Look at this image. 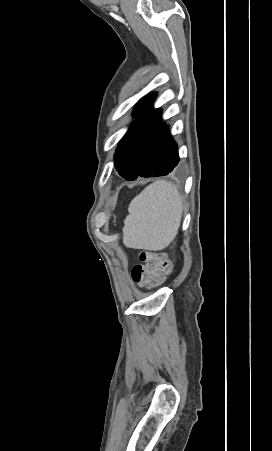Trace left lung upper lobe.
Returning a JSON list of instances; mask_svg holds the SVG:
<instances>
[{
  "instance_id": "1",
  "label": "left lung upper lobe",
  "mask_w": 272,
  "mask_h": 451,
  "mask_svg": "<svg viewBox=\"0 0 272 451\" xmlns=\"http://www.w3.org/2000/svg\"><path fill=\"white\" fill-rule=\"evenodd\" d=\"M156 94H151L137 104L136 121L119 142L115 153V167L123 178L136 177L141 169L153 136L161 123V110L152 109Z\"/></svg>"
}]
</instances>
